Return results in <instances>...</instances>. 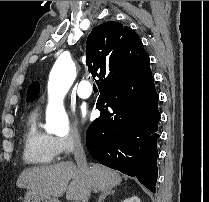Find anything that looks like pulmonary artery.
I'll list each match as a JSON object with an SVG mask.
<instances>
[{"label": "pulmonary artery", "mask_w": 209, "mask_h": 202, "mask_svg": "<svg viewBox=\"0 0 209 202\" xmlns=\"http://www.w3.org/2000/svg\"><path fill=\"white\" fill-rule=\"evenodd\" d=\"M92 86L89 84L87 78H85L78 87V96L82 99H87L92 94Z\"/></svg>", "instance_id": "pulmonary-artery-1"}]
</instances>
